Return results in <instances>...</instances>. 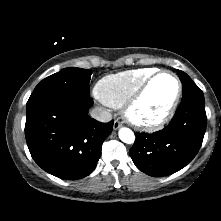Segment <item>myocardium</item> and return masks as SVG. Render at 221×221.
Wrapping results in <instances>:
<instances>
[{
	"mask_svg": "<svg viewBox=\"0 0 221 221\" xmlns=\"http://www.w3.org/2000/svg\"><path fill=\"white\" fill-rule=\"evenodd\" d=\"M168 74L170 75L176 82L177 90L176 94L174 96V99L166 112L162 114L159 118L155 120H141L135 117L134 110L137 107V105L140 103L142 98L144 97L146 91L150 87V85L153 83V81L159 77L160 75ZM182 95V83L179 79V77L170 70H157L152 75H150L139 87L138 89L132 94V96L126 101V103L123 105V114L128 121L129 124H131L133 127L139 130L144 131H156L160 128H162L166 123L170 121V119L173 117L178 104L180 102V98Z\"/></svg>",
	"mask_w": 221,
	"mask_h": 221,
	"instance_id": "myocardium-1",
	"label": "myocardium"
}]
</instances>
